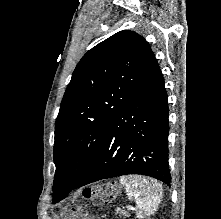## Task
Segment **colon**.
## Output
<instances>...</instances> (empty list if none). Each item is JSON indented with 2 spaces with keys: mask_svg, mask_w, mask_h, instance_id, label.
Segmentation results:
<instances>
[{
  "mask_svg": "<svg viewBox=\"0 0 221 219\" xmlns=\"http://www.w3.org/2000/svg\"><path fill=\"white\" fill-rule=\"evenodd\" d=\"M113 191L114 187L112 185H103L99 190H85L84 196L87 198L96 196L104 201H107ZM65 219H96V217L90 215L84 208H76L69 211Z\"/></svg>",
  "mask_w": 221,
  "mask_h": 219,
  "instance_id": "colon-1",
  "label": "colon"
}]
</instances>
